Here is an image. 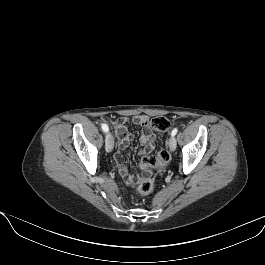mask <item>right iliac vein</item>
I'll use <instances>...</instances> for the list:
<instances>
[{
    "instance_id": "obj_1",
    "label": "right iliac vein",
    "mask_w": 265,
    "mask_h": 265,
    "mask_svg": "<svg viewBox=\"0 0 265 265\" xmlns=\"http://www.w3.org/2000/svg\"><path fill=\"white\" fill-rule=\"evenodd\" d=\"M114 147V138L111 133L106 134L105 148L107 152H111Z\"/></svg>"
}]
</instances>
